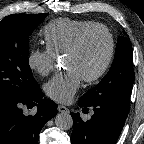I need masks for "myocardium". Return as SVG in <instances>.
Returning a JSON list of instances; mask_svg holds the SVG:
<instances>
[{"mask_svg": "<svg viewBox=\"0 0 144 144\" xmlns=\"http://www.w3.org/2000/svg\"><path fill=\"white\" fill-rule=\"evenodd\" d=\"M97 30L104 32L108 38V53H107L104 63L100 67V69L95 74L88 76V77H84V81L87 83L95 82V81L99 80L101 77H103V75L107 72V70L113 60L114 53H115V40H114V36H113L111 30L107 26H105L103 24H98V23H96L92 26L86 27L77 34V36L73 40L72 44L65 52V56L75 53L80 48L85 37L89 33L93 32V31H97Z\"/></svg>", "mask_w": 144, "mask_h": 144, "instance_id": "myocardium-1", "label": "myocardium"}]
</instances>
